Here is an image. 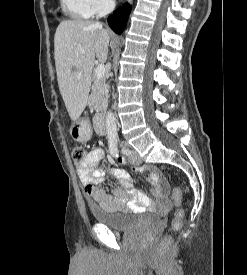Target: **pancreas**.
Instances as JSON below:
<instances>
[{"instance_id": "pancreas-1", "label": "pancreas", "mask_w": 247, "mask_h": 275, "mask_svg": "<svg viewBox=\"0 0 247 275\" xmlns=\"http://www.w3.org/2000/svg\"><path fill=\"white\" fill-rule=\"evenodd\" d=\"M88 104L93 107L98 114L106 110L108 104V90L104 78L94 81Z\"/></svg>"}]
</instances>
